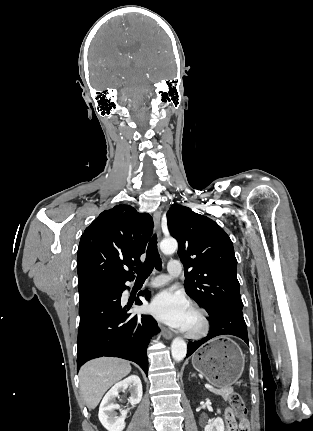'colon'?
Returning <instances> with one entry per match:
<instances>
[{
  "instance_id": "colon-1",
  "label": "colon",
  "mask_w": 313,
  "mask_h": 431,
  "mask_svg": "<svg viewBox=\"0 0 313 431\" xmlns=\"http://www.w3.org/2000/svg\"><path fill=\"white\" fill-rule=\"evenodd\" d=\"M247 408L243 398L238 393L229 397V408L226 412L228 431H248L246 419Z\"/></svg>"
}]
</instances>
